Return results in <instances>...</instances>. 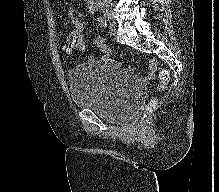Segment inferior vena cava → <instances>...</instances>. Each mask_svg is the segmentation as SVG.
I'll list each match as a JSON object with an SVG mask.
<instances>
[{"label":"inferior vena cava","instance_id":"1","mask_svg":"<svg viewBox=\"0 0 219 192\" xmlns=\"http://www.w3.org/2000/svg\"><path fill=\"white\" fill-rule=\"evenodd\" d=\"M103 1V3L105 4H108V3H110V2H112V0H102Z\"/></svg>","mask_w":219,"mask_h":192}]
</instances>
